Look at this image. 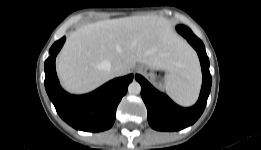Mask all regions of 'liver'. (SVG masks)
I'll return each instance as SVG.
<instances>
[{"label":"liver","instance_id":"liver-1","mask_svg":"<svg viewBox=\"0 0 261 150\" xmlns=\"http://www.w3.org/2000/svg\"><path fill=\"white\" fill-rule=\"evenodd\" d=\"M195 62L194 52L168 20L132 16L90 23L72 32L58 56L57 72L68 91L84 93L112 79L115 63L125 64L126 73L141 63L177 75Z\"/></svg>","mask_w":261,"mask_h":150}]
</instances>
